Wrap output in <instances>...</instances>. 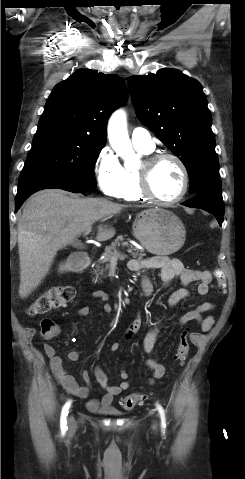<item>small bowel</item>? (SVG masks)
Returning a JSON list of instances; mask_svg holds the SVG:
<instances>
[{
  "label": "small bowel",
  "instance_id": "obj_1",
  "mask_svg": "<svg viewBox=\"0 0 245 479\" xmlns=\"http://www.w3.org/2000/svg\"><path fill=\"white\" fill-rule=\"evenodd\" d=\"M131 271H147L151 269L159 270L160 276L164 284L171 282L174 279H179L183 287L173 291L168 297V305L170 307L176 306L179 302L187 299L190 296V291L187 286L196 283V292L203 296L208 293L209 284L212 281V274L208 270H194L187 269L183 266L182 262L176 258H168L164 256H155L148 259H131L128 263ZM142 289L146 295L152 293L153 287L148 278H144L142 281ZM92 296L103 303L105 312L112 311V307L109 304V295L104 291H94ZM214 309V305L210 302L204 301L200 303L196 308L186 312L179 318V324L184 325L188 322L196 321L200 324V328L203 332H207L212 329L215 323V318L212 314L202 317L203 313H211ZM90 312L88 306H83L78 309L77 314L79 316H85ZM141 319L137 316L128 326L125 332L126 339H131L140 329ZM160 329V323L157 322L151 326L147 332L144 341L143 349L149 358L146 360V365L152 371V377L150 384L158 379H161L165 374V366L158 360L153 358L155 351L158 332ZM120 349L118 342L110 344V350L115 352ZM43 351L50 360V366L56 379L59 381L64 390L76 397L88 399L87 408L92 412L105 411L112 406L114 398L128 390L131 387L128 381L129 374L126 370L121 369L119 372L122 382L119 385H110L106 373L100 368L95 367L94 377L97 383L103 388L104 394L101 398H89L90 397V381L91 377L88 371L84 370L81 373V377L85 385H80L76 382L73 376H71L65 369L63 360L56 354V350L53 345L45 344ZM67 358L71 362H75L80 358V351L73 349L67 354Z\"/></svg>",
  "mask_w": 245,
  "mask_h": 479
}]
</instances>
